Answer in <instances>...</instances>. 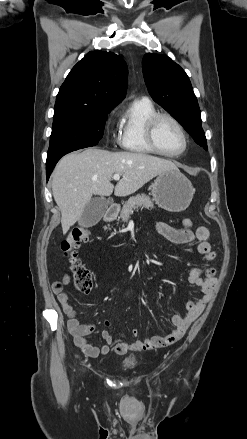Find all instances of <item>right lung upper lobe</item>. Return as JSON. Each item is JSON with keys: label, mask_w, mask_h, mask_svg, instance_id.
<instances>
[{"label": "right lung upper lobe", "mask_w": 247, "mask_h": 439, "mask_svg": "<svg viewBox=\"0 0 247 439\" xmlns=\"http://www.w3.org/2000/svg\"><path fill=\"white\" fill-rule=\"evenodd\" d=\"M127 75V65L119 55L91 51L66 77L56 97L55 108H114L125 97Z\"/></svg>", "instance_id": "cb5924a9"}]
</instances>
